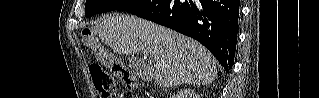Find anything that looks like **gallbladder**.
<instances>
[{
  "label": "gallbladder",
  "instance_id": "bac80fb5",
  "mask_svg": "<svg viewBox=\"0 0 319 98\" xmlns=\"http://www.w3.org/2000/svg\"><path fill=\"white\" fill-rule=\"evenodd\" d=\"M129 66L134 70V71H138V60L136 58H130L129 59Z\"/></svg>",
  "mask_w": 319,
  "mask_h": 98
}]
</instances>
